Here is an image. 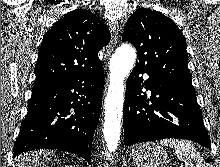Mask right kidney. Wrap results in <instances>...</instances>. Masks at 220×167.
<instances>
[{
    "label": "right kidney",
    "mask_w": 220,
    "mask_h": 167,
    "mask_svg": "<svg viewBox=\"0 0 220 167\" xmlns=\"http://www.w3.org/2000/svg\"><path fill=\"white\" fill-rule=\"evenodd\" d=\"M64 167H73V166H67V165H65Z\"/></svg>",
    "instance_id": "right-kidney-1"
}]
</instances>
